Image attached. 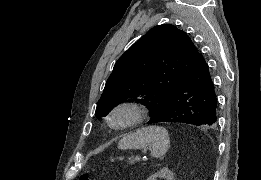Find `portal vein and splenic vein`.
<instances>
[{"label": "portal vein and splenic vein", "mask_w": 261, "mask_h": 180, "mask_svg": "<svg viewBox=\"0 0 261 180\" xmlns=\"http://www.w3.org/2000/svg\"><path fill=\"white\" fill-rule=\"evenodd\" d=\"M135 160L136 161H141L142 160L141 153H136Z\"/></svg>", "instance_id": "portal-vein-and-splenic-vein-1"}]
</instances>
